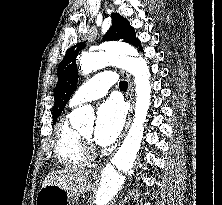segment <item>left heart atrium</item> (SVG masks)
Wrapping results in <instances>:
<instances>
[{
	"instance_id": "39dd6f15",
	"label": "left heart atrium",
	"mask_w": 222,
	"mask_h": 205,
	"mask_svg": "<svg viewBox=\"0 0 222 205\" xmlns=\"http://www.w3.org/2000/svg\"><path fill=\"white\" fill-rule=\"evenodd\" d=\"M125 123V109L121 101L109 99L97 111L94 139L101 146L112 144L120 135Z\"/></svg>"
}]
</instances>
